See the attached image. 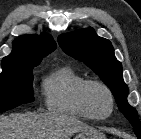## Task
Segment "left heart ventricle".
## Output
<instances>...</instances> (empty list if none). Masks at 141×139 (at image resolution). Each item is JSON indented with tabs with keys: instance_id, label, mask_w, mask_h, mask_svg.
<instances>
[{
	"instance_id": "left-heart-ventricle-1",
	"label": "left heart ventricle",
	"mask_w": 141,
	"mask_h": 139,
	"mask_svg": "<svg viewBox=\"0 0 141 139\" xmlns=\"http://www.w3.org/2000/svg\"><path fill=\"white\" fill-rule=\"evenodd\" d=\"M89 101L93 112L99 116L106 115L110 109L109 98L100 88H92L89 92Z\"/></svg>"
}]
</instances>
